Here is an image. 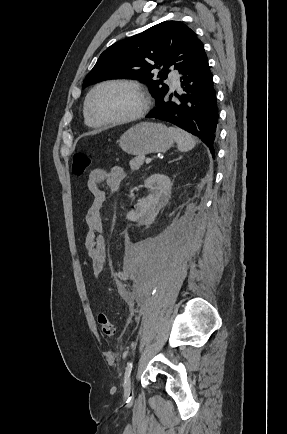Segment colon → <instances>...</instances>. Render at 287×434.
<instances>
[{
  "instance_id": "1",
  "label": "colon",
  "mask_w": 287,
  "mask_h": 434,
  "mask_svg": "<svg viewBox=\"0 0 287 434\" xmlns=\"http://www.w3.org/2000/svg\"><path fill=\"white\" fill-rule=\"evenodd\" d=\"M89 166L90 158L86 153L78 152L73 155L72 172L74 175L83 176ZM98 323L104 336L113 337L115 335V325L105 313H100L98 315Z\"/></svg>"
}]
</instances>
